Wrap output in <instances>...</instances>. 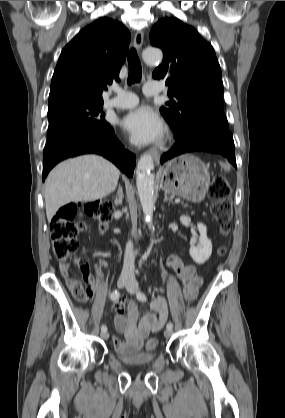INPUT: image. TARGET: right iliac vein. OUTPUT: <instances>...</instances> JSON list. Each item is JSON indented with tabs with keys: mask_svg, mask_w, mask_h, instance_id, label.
Masks as SVG:
<instances>
[{
	"mask_svg": "<svg viewBox=\"0 0 285 418\" xmlns=\"http://www.w3.org/2000/svg\"><path fill=\"white\" fill-rule=\"evenodd\" d=\"M129 281V276L127 275H121L117 281V286L119 288H122L127 282ZM101 337L103 339H108L109 338V332L108 331H103L101 332Z\"/></svg>",
	"mask_w": 285,
	"mask_h": 418,
	"instance_id": "63e3f726",
	"label": "right iliac vein"
}]
</instances>
